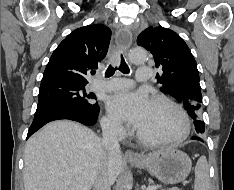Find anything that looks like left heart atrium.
I'll return each mask as SVG.
<instances>
[{"instance_id":"left-heart-atrium-1","label":"left heart atrium","mask_w":234,"mask_h":190,"mask_svg":"<svg viewBox=\"0 0 234 190\" xmlns=\"http://www.w3.org/2000/svg\"><path fill=\"white\" fill-rule=\"evenodd\" d=\"M151 101L143 91L120 92L108 97L107 110L110 115L138 128L150 109Z\"/></svg>"}]
</instances>
